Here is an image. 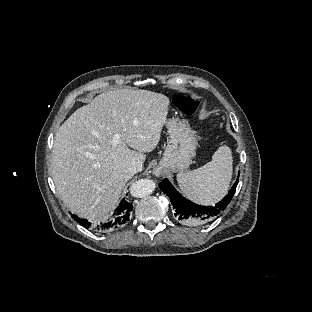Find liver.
<instances>
[{"label":"liver","mask_w":312,"mask_h":312,"mask_svg":"<svg viewBox=\"0 0 312 312\" xmlns=\"http://www.w3.org/2000/svg\"><path fill=\"white\" fill-rule=\"evenodd\" d=\"M169 98L118 89L78 108L58 129L49 172L63 203L79 218L106 219L132 178V162L146 160L166 122ZM120 135L118 144L113 136ZM134 150H131L130 148Z\"/></svg>","instance_id":"1"}]
</instances>
